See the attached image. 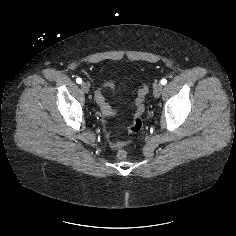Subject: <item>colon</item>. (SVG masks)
<instances>
[{"label":"colon","instance_id":"obj_1","mask_svg":"<svg viewBox=\"0 0 236 236\" xmlns=\"http://www.w3.org/2000/svg\"><path fill=\"white\" fill-rule=\"evenodd\" d=\"M147 91H148V88L145 85L142 86L139 91L138 101H137V111L134 115L132 124L129 125L127 128L128 132H130V133H137L143 127V119H142V115H143V111H144L143 99H144V96L146 95ZM117 156L120 159H124L127 157V151L123 148H120L117 151Z\"/></svg>","mask_w":236,"mask_h":236}]
</instances>
